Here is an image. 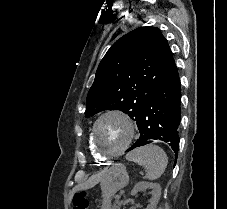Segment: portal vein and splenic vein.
Returning <instances> with one entry per match:
<instances>
[{
	"label": "portal vein and splenic vein",
	"mask_w": 227,
	"mask_h": 209,
	"mask_svg": "<svg viewBox=\"0 0 227 209\" xmlns=\"http://www.w3.org/2000/svg\"><path fill=\"white\" fill-rule=\"evenodd\" d=\"M125 192H126V191H125L124 189H121V190H120V193H121V194H124ZM121 194H117L115 197H116L117 199H120L121 196H122Z\"/></svg>",
	"instance_id": "1"
}]
</instances>
